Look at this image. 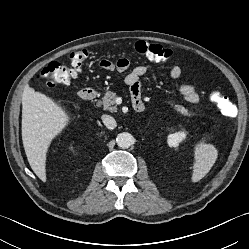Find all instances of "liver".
Here are the masks:
<instances>
[{
    "label": "liver",
    "instance_id": "obj_1",
    "mask_svg": "<svg viewBox=\"0 0 249 249\" xmlns=\"http://www.w3.org/2000/svg\"><path fill=\"white\" fill-rule=\"evenodd\" d=\"M70 122L67 112L52 98L26 87L22 97V141L34 173L46 182V154L52 140Z\"/></svg>",
    "mask_w": 249,
    "mask_h": 249
}]
</instances>
